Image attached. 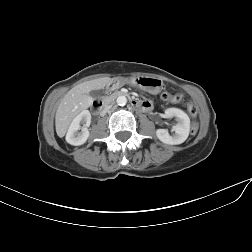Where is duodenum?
<instances>
[{"label":"duodenum","mask_w":252,"mask_h":252,"mask_svg":"<svg viewBox=\"0 0 252 252\" xmlns=\"http://www.w3.org/2000/svg\"><path fill=\"white\" fill-rule=\"evenodd\" d=\"M119 83L116 82V81H111L108 85V90L110 92L114 91L117 87H118ZM131 105L137 109H142L143 108V105H142V102L138 101V100H135V99H132L130 101ZM93 110L96 114H101L105 111V107L103 105V103L101 101H95L93 103Z\"/></svg>","instance_id":"410a0bca"}]
</instances>
